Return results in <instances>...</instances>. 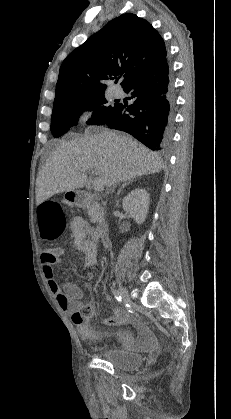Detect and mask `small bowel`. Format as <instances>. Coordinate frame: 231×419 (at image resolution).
I'll return each instance as SVG.
<instances>
[{
	"label": "small bowel",
	"mask_w": 231,
	"mask_h": 419,
	"mask_svg": "<svg viewBox=\"0 0 231 419\" xmlns=\"http://www.w3.org/2000/svg\"><path fill=\"white\" fill-rule=\"evenodd\" d=\"M70 228L74 238V247L83 254V266L85 268L94 266L97 263L96 231L80 216L72 219ZM63 255L64 250L59 247L42 251L41 264L43 272L61 310L72 315V320L83 339L94 342L99 335L89 325V320L93 314L89 317H82L80 314L82 306L90 305L94 308L93 303L84 301L83 291L76 283L66 282L63 287H60L56 280L54 266L62 262ZM103 322L108 326L131 325L136 330V337L127 330L117 333L124 348L128 350H146L149 348L152 341V333L144 324L134 320L129 312L116 310L111 317L104 319Z\"/></svg>",
	"instance_id": "small-bowel-1"
}]
</instances>
